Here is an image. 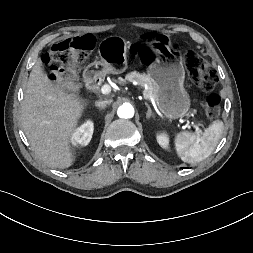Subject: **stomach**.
Masks as SVG:
<instances>
[{"instance_id": "0dacf381", "label": "stomach", "mask_w": 253, "mask_h": 253, "mask_svg": "<svg viewBox=\"0 0 253 253\" xmlns=\"http://www.w3.org/2000/svg\"><path fill=\"white\" fill-rule=\"evenodd\" d=\"M168 43V38L164 40ZM129 42L120 36L104 38L98 47L100 60L89 65L90 77L106 74H121L127 69ZM165 57L151 64L147 74L157 87V104L164 116L169 119L182 118L191 106L189 94L184 88L185 70L177 57Z\"/></svg>"}]
</instances>
